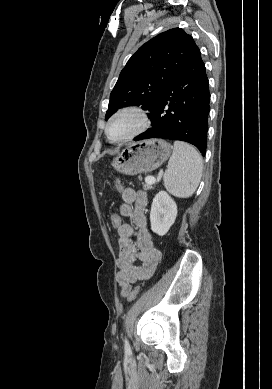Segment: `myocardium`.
<instances>
[{"instance_id": "1", "label": "myocardium", "mask_w": 272, "mask_h": 389, "mask_svg": "<svg viewBox=\"0 0 272 389\" xmlns=\"http://www.w3.org/2000/svg\"><path fill=\"white\" fill-rule=\"evenodd\" d=\"M125 114H132L135 117H137L138 124H137L136 128L131 133H129L127 136H125L123 138L112 139L110 136V133H109L111 124L113 123V121L115 119H117L118 117L125 115ZM149 125H150L149 116H148L147 112L142 107L137 106V105H127V106H123V107L119 108L111 115V117L108 119V121L106 123L105 134H106L107 139L111 143H125L128 141H131L132 139H134V138L138 137L139 135H141L142 133H144L148 129Z\"/></svg>"}]
</instances>
